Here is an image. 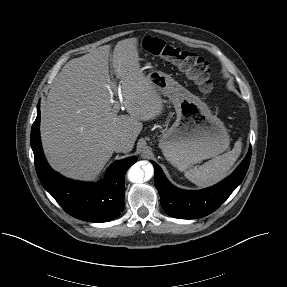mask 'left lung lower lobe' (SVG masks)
I'll list each match as a JSON object with an SVG mask.
<instances>
[{
  "label": "left lung lower lobe",
  "mask_w": 287,
  "mask_h": 287,
  "mask_svg": "<svg viewBox=\"0 0 287 287\" xmlns=\"http://www.w3.org/2000/svg\"><path fill=\"white\" fill-rule=\"evenodd\" d=\"M251 159V147L247 156L222 182L203 190H182L173 186L155 162V186L160 194L163 210L179 219L201 218L214 212L242 182Z\"/></svg>",
  "instance_id": "0a47b994"
}]
</instances>
